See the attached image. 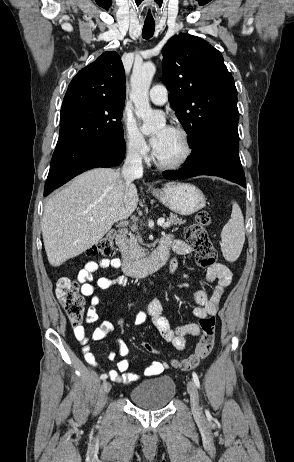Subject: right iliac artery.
<instances>
[{
    "label": "right iliac artery",
    "instance_id": "1",
    "mask_svg": "<svg viewBox=\"0 0 294 462\" xmlns=\"http://www.w3.org/2000/svg\"><path fill=\"white\" fill-rule=\"evenodd\" d=\"M107 377H108L107 374H102V375L100 376V379L105 380V379H107Z\"/></svg>",
    "mask_w": 294,
    "mask_h": 462
}]
</instances>
